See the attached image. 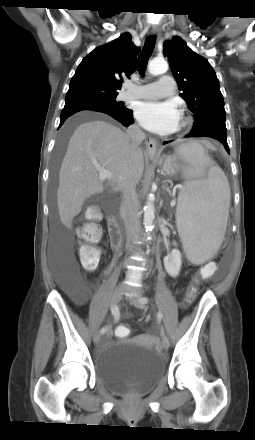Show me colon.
I'll return each mask as SVG.
<instances>
[{
  "label": "colon",
  "instance_id": "5ec220e1",
  "mask_svg": "<svg viewBox=\"0 0 255 440\" xmlns=\"http://www.w3.org/2000/svg\"><path fill=\"white\" fill-rule=\"evenodd\" d=\"M88 223L84 224L79 229V237L82 240L81 245L78 248V254L82 266L87 270L95 269L99 263L100 251L95 244L101 238V229L95 223L99 218V213L95 209H89L87 211ZM197 292V287H191L186 292V300L192 301ZM116 335L120 338H126L130 335V329L127 326H118L115 331Z\"/></svg>",
  "mask_w": 255,
  "mask_h": 440
}]
</instances>
